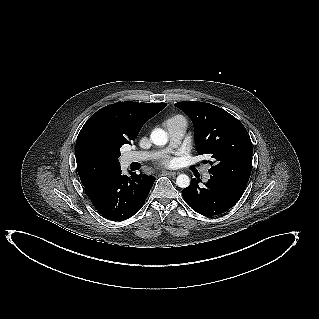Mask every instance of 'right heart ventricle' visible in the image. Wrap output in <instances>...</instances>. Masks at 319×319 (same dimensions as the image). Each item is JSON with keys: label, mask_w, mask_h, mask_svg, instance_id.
I'll return each mask as SVG.
<instances>
[{"label": "right heart ventricle", "mask_w": 319, "mask_h": 319, "mask_svg": "<svg viewBox=\"0 0 319 319\" xmlns=\"http://www.w3.org/2000/svg\"><path fill=\"white\" fill-rule=\"evenodd\" d=\"M173 119L183 120V118H182V117H175V118H172V119H170V120H173ZM183 121H184V120H183Z\"/></svg>", "instance_id": "obj_1"}]
</instances>
